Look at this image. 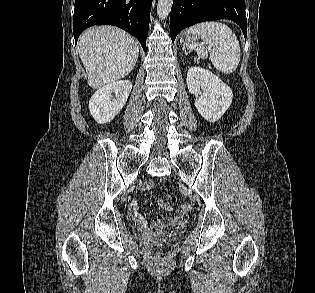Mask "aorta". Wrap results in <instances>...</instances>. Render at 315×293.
Here are the masks:
<instances>
[{
    "instance_id": "1",
    "label": "aorta",
    "mask_w": 315,
    "mask_h": 293,
    "mask_svg": "<svg viewBox=\"0 0 315 293\" xmlns=\"http://www.w3.org/2000/svg\"><path fill=\"white\" fill-rule=\"evenodd\" d=\"M173 0H158L157 15L160 19L164 20L170 14Z\"/></svg>"
}]
</instances>
